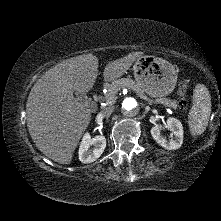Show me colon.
Wrapping results in <instances>:
<instances>
[{
    "label": "colon",
    "instance_id": "colon-1",
    "mask_svg": "<svg viewBox=\"0 0 221 221\" xmlns=\"http://www.w3.org/2000/svg\"><path fill=\"white\" fill-rule=\"evenodd\" d=\"M188 85L185 82H180L178 85V103L181 107H186L188 105V94H187Z\"/></svg>",
    "mask_w": 221,
    "mask_h": 221
}]
</instances>
